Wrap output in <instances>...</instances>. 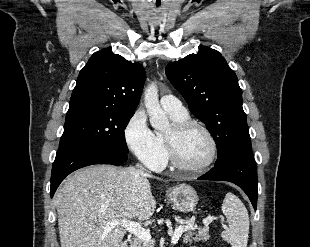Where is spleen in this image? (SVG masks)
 Listing matches in <instances>:
<instances>
[{
	"label": "spleen",
	"instance_id": "3e777b00",
	"mask_svg": "<svg viewBox=\"0 0 310 247\" xmlns=\"http://www.w3.org/2000/svg\"><path fill=\"white\" fill-rule=\"evenodd\" d=\"M222 211L228 221V228L221 234L223 240L232 247H247L249 216L242 201L232 193H227Z\"/></svg>",
	"mask_w": 310,
	"mask_h": 247
}]
</instances>
